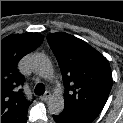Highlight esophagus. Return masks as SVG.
I'll return each mask as SVG.
<instances>
[{
  "instance_id": "obj_1",
  "label": "esophagus",
  "mask_w": 123,
  "mask_h": 123,
  "mask_svg": "<svg viewBox=\"0 0 123 123\" xmlns=\"http://www.w3.org/2000/svg\"><path fill=\"white\" fill-rule=\"evenodd\" d=\"M50 97H51V93L49 91H46L44 95L40 97V99L43 101H47L48 99H50Z\"/></svg>"
}]
</instances>
